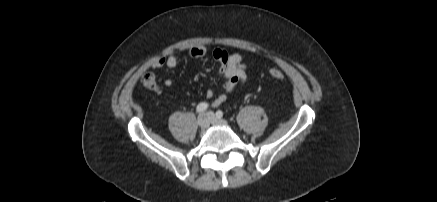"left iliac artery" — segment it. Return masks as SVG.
Masks as SVG:
<instances>
[{"label":"left iliac artery","instance_id":"obj_1","mask_svg":"<svg viewBox=\"0 0 437 202\" xmlns=\"http://www.w3.org/2000/svg\"><path fill=\"white\" fill-rule=\"evenodd\" d=\"M216 116H217L218 118H222V117H223V112H222L221 110H218V111L216 112Z\"/></svg>","mask_w":437,"mask_h":202}]
</instances>
